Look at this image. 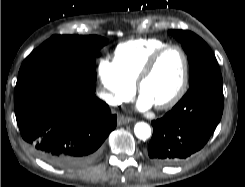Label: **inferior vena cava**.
<instances>
[{
    "label": "inferior vena cava",
    "instance_id": "inferior-vena-cava-1",
    "mask_svg": "<svg viewBox=\"0 0 245 187\" xmlns=\"http://www.w3.org/2000/svg\"><path fill=\"white\" fill-rule=\"evenodd\" d=\"M97 94L98 96L104 98L107 102H109V104H112V105L117 104V101L115 99H112L111 97H108L107 95H105L103 88H99L97 90Z\"/></svg>",
    "mask_w": 245,
    "mask_h": 187
}]
</instances>
